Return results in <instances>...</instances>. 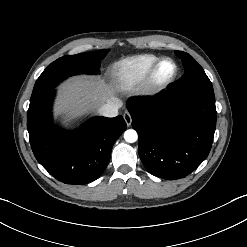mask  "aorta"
Returning a JSON list of instances; mask_svg holds the SVG:
<instances>
[{
	"instance_id": "1",
	"label": "aorta",
	"mask_w": 247,
	"mask_h": 247,
	"mask_svg": "<svg viewBox=\"0 0 247 247\" xmlns=\"http://www.w3.org/2000/svg\"><path fill=\"white\" fill-rule=\"evenodd\" d=\"M124 139L128 143H134L138 139V134L133 129H128L124 132Z\"/></svg>"
}]
</instances>
